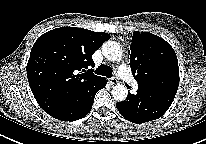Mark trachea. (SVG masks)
<instances>
[{
    "label": "trachea",
    "mask_w": 206,
    "mask_h": 144,
    "mask_svg": "<svg viewBox=\"0 0 206 144\" xmlns=\"http://www.w3.org/2000/svg\"><path fill=\"white\" fill-rule=\"evenodd\" d=\"M95 73L98 75L106 76L107 78H111L113 76V70L111 67L106 66L104 64L100 65L96 70Z\"/></svg>",
    "instance_id": "3493384b"
}]
</instances>
